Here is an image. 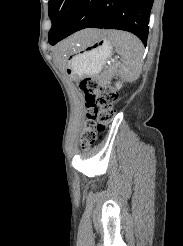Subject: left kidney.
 Listing matches in <instances>:
<instances>
[{"mask_svg": "<svg viewBox=\"0 0 183 246\" xmlns=\"http://www.w3.org/2000/svg\"><path fill=\"white\" fill-rule=\"evenodd\" d=\"M121 87H122V83L119 82V83L116 84V89L119 90Z\"/></svg>", "mask_w": 183, "mask_h": 246, "instance_id": "left-kidney-1", "label": "left kidney"}]
</instances>
